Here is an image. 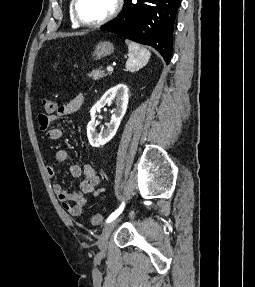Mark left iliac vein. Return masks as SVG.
Listing matches in <instances>:
<instances>
[{
	"mask_svg": "<svg viewBox=\"0 0 255 287\" xmlns=\"http://www.w3.org/2000/svg\"><path fill=\"white\" fill-rule=\"evenodd\" d=\"M119 218H116L110 222H108L105 227L102 230L101 236L99 238L98 241V247L101 251V253H104L107 249L108 246V239L110 234L112 233L114 227L117 225V223L119 222Z\"/></svg>",
	"mask_w": 255,
	"mask_h": 287,
	"instance_id": "obj_1",
	"label": "left iliac vein"
}]
</instances>
